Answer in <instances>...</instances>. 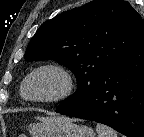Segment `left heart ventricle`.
Wrapping results in <instances>:
<instances>
[{
    "label": "left heart ventricle",
    "mask_w": 144,
    "mask_h": 137,
    "mask_svg": "<svg viewBox=\"0 0 144 137\" xmlns=\"http://www.w3.org/2000/svg\"><path fill=\"white\" fill-rule=\"evenodd\" d=\"M61 85L59 76L52 72H43L29 81L25 94L29 97H48L57 93Z\"/></svg>",
    "instance_id": "left-heart-ventricle-1"
}]
</instances>
